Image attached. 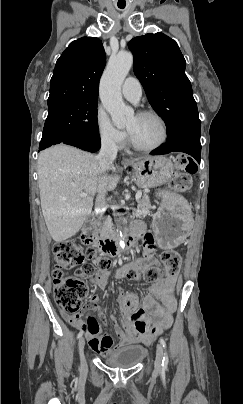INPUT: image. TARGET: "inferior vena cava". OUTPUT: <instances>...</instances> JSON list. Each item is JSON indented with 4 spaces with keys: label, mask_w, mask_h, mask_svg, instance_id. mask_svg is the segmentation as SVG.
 Segmentation results:
<instances>
[{
    "label": "inferior vena cava",
    "mask_w": 243,
    "mask_h": 404,
    "mask_svg": "<svg viewBox=\"0 0 243 404\" xmlns=\"http://www.w3.org/2000/svg\"><path fill=\"white\" fill-rule=\"evenodd\" d=\"M117 156V146L109 136H102L101 150L97 156L99 160L98 178H99V194L95 204V212L98 218H102L106 210L105 194L106 182L108 180L107 172L113 168V162Z\"/></svg>",
    "instance_id": "obj_1"
}]
</instances>
